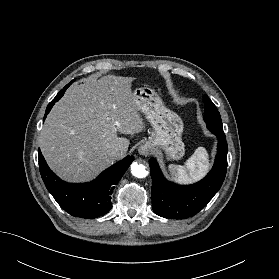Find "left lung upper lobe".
I'll return each instance as SVG.
<instances>
[{"label": "left lung upper lobe", "instance_id": "5c2ea615", "mask_svg": "<svg viewBox=\"0 0 279 279\" xmlns=\"http://www.w3.org/2000/svg\"><path fill=\"white\" fill-rule=\"evenodd\" d=\"M203 100L205 104L204 120L207 124V128L212 132L224 134L222 121L218 109L207 95L203 96Z\"/></svg>", "mask_w": 279, "mask_h": 279}]
</instances>
